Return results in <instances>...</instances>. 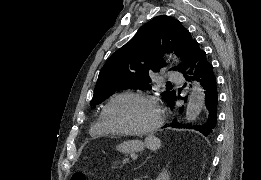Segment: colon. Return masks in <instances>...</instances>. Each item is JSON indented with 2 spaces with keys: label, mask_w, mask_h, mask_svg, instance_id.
I'll return each instance as SVG.
<instances>
[{
  "label": "colon",
  "mask_w": 261,
  "mask_h": 180,
  "mask_svg": "<svg viewBox=\"0 0 261 180\" xmlns=\"http://www.w3.org/2000/svg\"><path fill=\"white\" fill-rule=\"evenodd\" d=\"M72 180H86V175L83 172H75L72 176Z\"/></svg>",
  "instance_id": "obj_1"
}]
</instances>
